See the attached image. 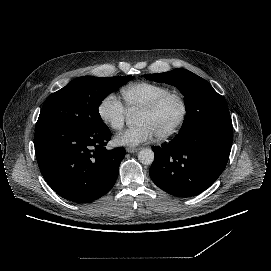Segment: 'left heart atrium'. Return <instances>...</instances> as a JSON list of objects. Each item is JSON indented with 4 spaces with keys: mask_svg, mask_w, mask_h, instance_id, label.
<instances>
[{
    "mask_svg": "<svg viewBox=\"0 0 271 271\" xmlns=\"http://www.w3.org/2000/svg\"><path fill=\"white\" fill-rule=\"evenodd\" d=\"M154 137L155 134L147 124H140L133 129L118 134L115 137V143L119 146L137 147L151 142Z\"/></svg>",
    "mask_w": 271,
    "mask_h": 271,
    "instance_id": "obj_1",
    "label": "left heart atrium"
}]
</instances>
